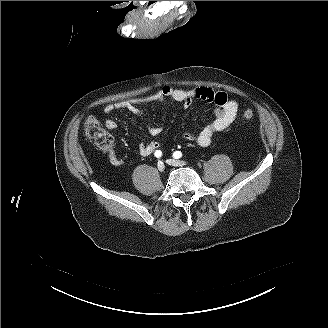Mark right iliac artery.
I'll return each mask as SVG.
<instances>
[{"label": "right iliac artery", "mask_w": 328, "mask_h": 328, "mask_svg": "<svg viewBox=\"0 0 328 328\" xmlns=\"http://www.w3.org/2000/svg\"><path fill=\"white\" fill-rule=\"evenodd\" d=\"M162 155V152L160 151V150H157L156 152H155V156L156 157H160Z\"/></svg>", "instance_id": "1"}]
</instances>
